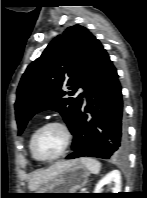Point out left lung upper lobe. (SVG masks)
<instances>
[{
	"label": "left lung upper lobe",
	"mask_w": 147,
	"mask_h": 198,
	"mask_svg": "<svg viewBox=\"0 0 147 198\" xmlns=\"http://www.w3.org/2000/svg\"><path fill=\"white\" fill-rule=\"evenodd\" d=\"M95 40L86 27H68L27 67L15 103L19 135L34 114L47 109L59 112L70 131L74 130L83 94L77 98L65 96H73L78 88L85 87ZM64 85L71 91H62Z\"/></svg>",
	"instance_id": "5c2ea615"
}]
</instances>
